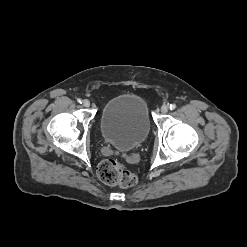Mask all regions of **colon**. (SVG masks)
Listing matches in <instances>:
<instances>
[{"label":"colon","mask_w":247,"mask_h":247,"mask_svg":"<svg viewBox=\"0 0 247 247\" xmlns=\"http://www.w3.org/2000/svg\"><path fill=\"white\" fill-rule=\"evenodd\" d=\"M97 174L102 182L110 186L126 188L137 182L136 174L114 159L103 160L98 165Z\"/></svg>","instance_id":"colon-1"}]
</instances>
